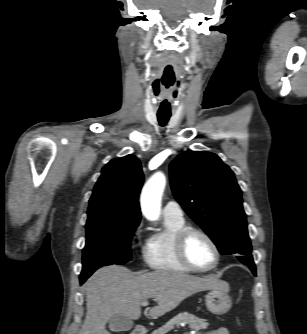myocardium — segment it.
<instances>
[{
	"instance_id": "1",
	"label": "myocardium",
	"mask_w": 307,
	"mask_h": 334,
	"mask_svg": "<svg viewBox=\"0 0 307 334\" xmlns=\"http://www.w3.org/2000/svg\"><path fill=\"white\" fill-rule=\"evenodd\" d=\"M193 235H200L204 237L213 247L214 252H215V261L212 266L207 267V268H201V267L196 266L191 261L188 255L187 245H188L189 239ZM175 251L181 263L187 268H189L190 270L196 271V272L212 271L218 267L220 260H221L220 248L218 244L216 243V241L213 239V237L210 234H208L206 231L196 228V227L187 226L177 232L175 236Z\"/></svg>"
}]
</instances>
